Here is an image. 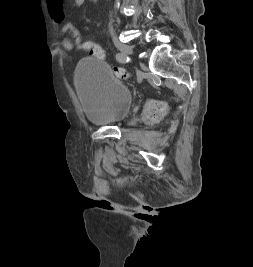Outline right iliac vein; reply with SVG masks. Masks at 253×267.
Masks as SVG:
<instances>
[{
    "mask_svg": "<svg viewBox=\"0 0 253 267\" xmlns=\"http://www.w3.org/2000/svg\"><path fill=\"white\" fill-rule=\"evenodd\" d=\"M114 45L119 51H121L125 55L133 54V48L126 43H122L118 40H114Z\"/></svg>",
    "mask_w": 253,
    "mask_h": 267,
    "instance_id": "63e3f726",
    "label": "right iliac vein"
}]
</instances>
